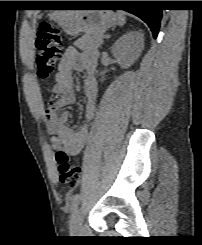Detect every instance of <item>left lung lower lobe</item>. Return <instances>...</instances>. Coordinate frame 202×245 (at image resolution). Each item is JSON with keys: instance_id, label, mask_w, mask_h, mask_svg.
<instances>
[{"instance_id": "left-lung-lower-lobe-1", "label": "left lung lower lobe", "mask_w": 202, "mask_h": 245, "mask_svg": "<svg viewBox=\"0 0 202 245\" xmlns=\"http://www.w3.org/2000/svg\"><path fill=\"white\" fill-rule=\"evenodd\" d=\"M86 6H117L141 18L157 37L162 18V10L150 7L148 1H85Z\"/></svg>"}]
</instances>
